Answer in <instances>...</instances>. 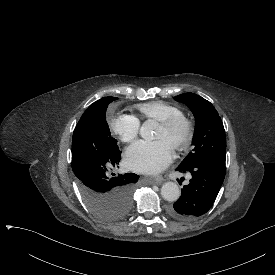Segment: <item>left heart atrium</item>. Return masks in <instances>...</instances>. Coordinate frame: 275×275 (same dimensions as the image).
I'll return each instance as SVG.
<instances>
[{
	"label": "left heart atrium",
	"mask_w": 275,
	"mask_h": 275,
	"mask_svg": "<svg viewBox=\"0 0 275 275\" xmlns=\"http://www.w3.org/2000/svg\"><path fill=\"white\" fill-rule=\"evenodd\" d=\"M174 158V149L167 140L140 142L127 151L129 167L143 173H157L167 167Z\"/></svg>",
	"instance_id": "left-heart-atrium-1"
}]
</instances>
